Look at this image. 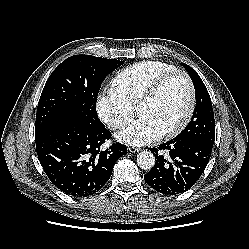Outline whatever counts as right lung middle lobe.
Instances as JSON below:
<instances>
[{
	"label": "right lung middle lobe",
	"instance_id": "1",
	"mask_svg": "<svg viewBox=\"0 0 249 249\" xmlns=\"http://www.w3.org/2000/svg\"><path fill=\"white\" fill-rule=\"evenodd\" d=\"M124 62L91 55H74L49 76L39 99L35 133L71 121L105 128L96 113V100L106 75Z\"/></svg>",
	"mask_w": 249,
	"mask_h": 249
}]
</instances>
